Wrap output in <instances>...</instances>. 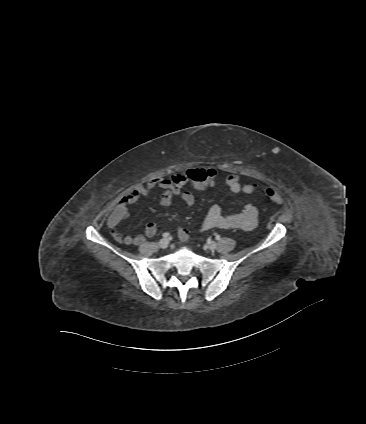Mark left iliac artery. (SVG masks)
Instances as JSON below:
<instances>
[{
  "label": "left iliac artery",
  "mask_w": 366,
  "mask_h": 424,
  "mask_svg": "<svg viewBox=\"0 0 366 424\" xmlns=\"http://www.w3.org/2000/svg\"><path fill=\"white\" fill-rule=\"evenodd\" d=\"M216 240H220L221 239V237H220V235H216Z\"/></svg>",
  "instance_id": "obj_1"
}]
</instances>
